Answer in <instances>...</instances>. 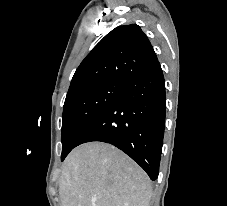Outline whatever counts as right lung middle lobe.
I'll return each mask as SVG.
<instances>
[{"label":"right lung middle lobe","instance_id":"dd1d6c3e","mask_svg":"<svg viewBox=\"0 0 227 206\" xmlns=\"http://www.w3.org/2000/svg\"><path fill=\"white\" fill-rule=\"evenodd\" d=\"M124 88V81L107 80L66 97L62 117V161L77 146L84 132L123 93Z\"/></svg>","mask_w":227,"mask_h":206}]
</instances>
